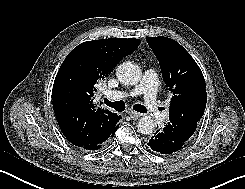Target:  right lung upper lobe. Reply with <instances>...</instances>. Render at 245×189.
Returning <instances> with one entry per match:
<instances>
[{
    "label": "right lung upper lobe",
    "instance_id": "obj_1",
    "mask_svg": "<svg viewBox=\"0 0 245 189\" xmlns=\"http://www.w3.org/2000/svg\"><path fill=\"white\" fill-rule=\"evenodd\" d=\"M140 43L135 38L87 41L63 61L53 85V109L64 136L73 145L93 141L99 118L107 121L109 129L117 125L120 115L96 108L94 94L97 85Z\"/></svg>",
    "mask_w": 245,
    "mask_h": 189
}]
</instances>
